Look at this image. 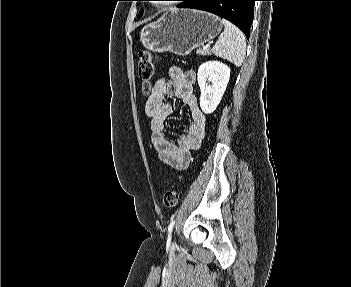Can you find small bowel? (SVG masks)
<instances>
[{
    "label": "small bowel",
    "mask_w": 351,
    "mask_h": 287,
    "mask_svg": "<svg viewBox=\"0 0 351 287\" xmlns=\"http://www.w3.org/2000/svg\"><path fill=\"white\" fill-rule=\"evenodd\" d=\"M194 82L192 71H185L178 66L170 67L167 76L156 81L145 103L152 144L159 158L176 169H185L189 165L192 151L199 147L204 136L206 118L198 105ZM167 97L181 100L191 116V121L174 140H170L165 133L166 121L172 114Z\"/></svg>",
    "instance_id": "c3829d8e"
}]
</instances>
